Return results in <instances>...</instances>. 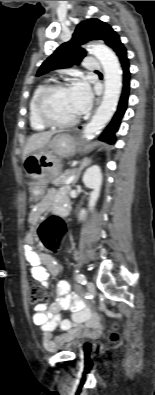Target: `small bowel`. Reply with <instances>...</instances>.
Listing matches in <instances>:
<instances>
[{
	"instance_id": "1",
	"label": "small bowel",
	"mask_w": 155,
	"mask_h": 395,
	"mask_svg": "<svg viewBox=\"0 0 155 395\" xmlns=\"http://www.w3.org/2000/svg\"><path fill=\"white\" fill-rule=\"evenodd\" d=\"M68 210L66 189L51 190L30 216V221L36 223L49 213L61 215L62 210ZM25 258L31 266V275L41 286L48 287L49 279L60 271L57 261L50 255L38 252L32 245L25 247ZM57 300L49 307L38 304L34 308L33 323L41 330V339L46 350H55L62 344L75 338L95 335L101 330L99 316L85 306L76 295L70 294L67 281H60L56 287ZM70 310L72 319H64L61 312ZM60 327L61 333L53 336L52 332Z\"/></svg>"
}]
</instances>
